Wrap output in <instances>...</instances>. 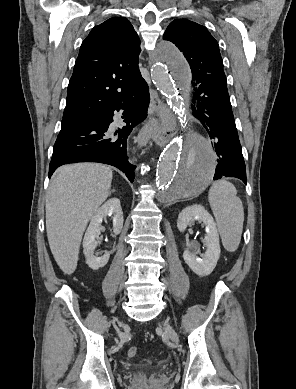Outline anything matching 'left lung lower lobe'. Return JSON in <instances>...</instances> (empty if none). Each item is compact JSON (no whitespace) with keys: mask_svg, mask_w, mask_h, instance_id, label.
<instances>
[{"mask_svg":"<svg viewBox=\"0 0 296 389\" xmlns=\"http://www.w3.org/2000/svg\"><path fill=\"white\" fill-rule=\"evenodd\" d=\"M209 76V75H207ZM189 101L192 116L208 131L218 156L214 180L236 177L245 184L246 167L232 113L225 76L204 77L192 82Z\"/></svg>","mask_w":296,"mask_h":389,"instance_id":"1","label":"left lung lower lobe"}]
</instances>
